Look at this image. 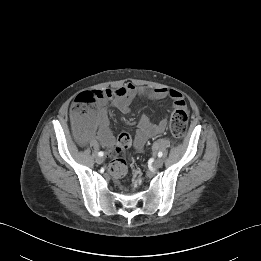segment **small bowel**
<instances>
[{"mask_svg": "<svg viewBox=\"0 0 261 261\" xmlns=\"http://www.w3.org/2000/svg\"><path fill=\"white\" fill-rule=\"evenodd\" d=\"M137 97L150 100L170 98L173 100L175 108L184 109L186 107L184 98L179 91L165 87L151 88L126 83L116 89L97 90L95 91L97 104L82 123L80 141L86 143L95 137L103 146H111L115 138L110 128L108 107L113 106L121 113L127 114L130 112L132 101ZM166 126V120L153 124L146 116H143L134 136V148L143 149L146 141L150 137L162 134L166 130Z\"/></svg>", "mask_w": 261, "mask_h": 261, "instance_id": "c3829d8e", "label": "small bowel"}]
</instances>
